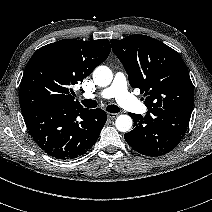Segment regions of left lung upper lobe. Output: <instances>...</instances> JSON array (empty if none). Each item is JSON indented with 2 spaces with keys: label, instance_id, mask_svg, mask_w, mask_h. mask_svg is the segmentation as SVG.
I'll list each match as a JSON object with an SVG mask.
<instances>
[{
  "label": "left lung upper lobe",
  "instance_id": "obj_1",
  "mask_svg": "<svg viewBox=\"0 0 212 212\" xmlns=\"http://www.w3.org/2000/svg\"><path fill=\"white\" fill-rule=\"evenodd\" d=\"M111 46L128 73L130 85L144 93L148 108L192 112L193 84L175 50L146 35L111 40Z\"/></svg>",
  "mask_w": 212,
  "mask_h": 212
}]
</instances>
